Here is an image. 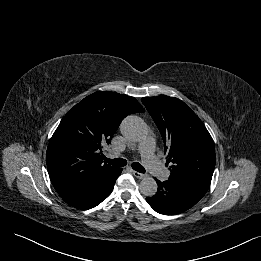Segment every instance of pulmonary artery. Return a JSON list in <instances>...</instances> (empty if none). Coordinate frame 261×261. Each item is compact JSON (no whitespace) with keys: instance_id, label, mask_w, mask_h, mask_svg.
I'll list each match as a JSON object with an SVG mask.
<instances>
[{"instance_id":"obj_1","label":"pulmonary artery","mask_w":261,"mask_h":261,"mask_svg":"<svg viewBox=\"0 0 261 261\" xmlns=\"http://www.w3.org/2000/svg\"><path fill=\"white\" fill-rule=\"evenodd\" d=\"M139 152L141 153L144 165L153 176L161 180L168 179L169 171L163 167L155 154V141L153 138L148 137L144 139L139 145Z\"/></svg>"}]
</instances>
